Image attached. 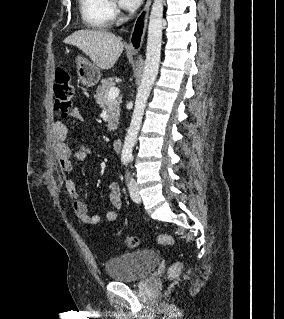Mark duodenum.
<instances>
[{
    "mask_svg": "<svg viewBox=\"0 0 284 319\" xmlns=\"http://www.w3.org/2000/svg\"><path fill=\"white\" fill-rule=\"evenodd\" d=\"M123 147V140L121 138H117L113 141V148L115 151H120Z\"/></svg>",
    "mask_w": 284,
    "mask_h": 319,
    "instance_id": "410a0bca",
    "label": "duodenum"
}]
</instances>
